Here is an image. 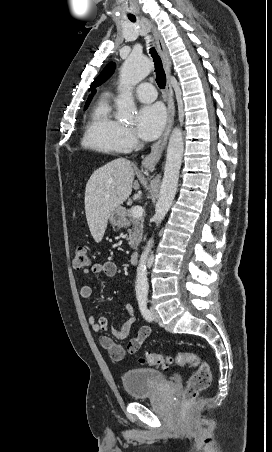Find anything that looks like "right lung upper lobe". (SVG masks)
<instances>
[{
    "label": "right lung upper lobe",
    "mask_w": 272,
    "mask_h": 452,
    "mask_svg": "<svg viewBox=\"0 0 272 452\" xmlns=\"http://www.w3.org/2000/svg\"><path fill=\"white\" fill-rule=\"evenodd\" d=\"M92 94H93V95L95 94V90L92 92ZM91 98H92V95H90V96L88 97V100L86 101V104H87V103H90Z\"/></svg>",
    "instance_id": "obj_1"
}]
</instances>
